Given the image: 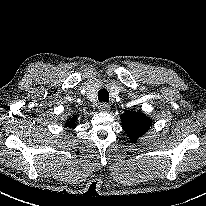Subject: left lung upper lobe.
<instances>
[{
	"instance_id": "5c2ea615",
	"label": "left lung upper lobe",
	"mask_w": 206,
	"mask_h": 206,
	"mask_svg": "<svg viewBox=\"0 0 206 206\" xmlns=\"http://www.w3.org/2000/svg\"><path fill=\"white\" fill-rule=\"evenodd\" d=\"M121 122L123 130L133 142H136L151 126V119L139 112L124 113Z\"/></svg>"
}]
</instances>
